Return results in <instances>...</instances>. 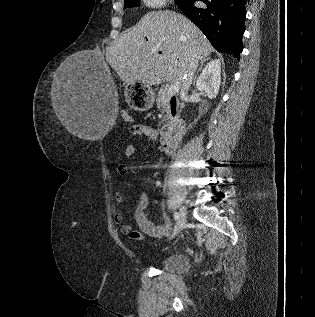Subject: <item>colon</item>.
<instances>
[{"instance_id": "obj_1", "label": "colon", "mask_w": 315, "mask_h": 317, "mask_svg": "<svg viewBox=\"0 0 315 317\" xmlns=\"http://www.w3.org/2000/svg\"><path fill=\"white\" fill-rule=\"evenodd\" d=\"M122 118L123 120H125L126 122H132V118L127 114V113H124L122 115Z\"/></svg>"}]
</instances>
